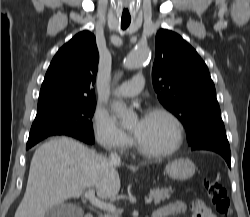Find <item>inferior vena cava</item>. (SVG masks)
Returning a JSON list of instances; mask_svg holds the SVG:
<instances>
[{"instance_id": "obj_1", "label": "inferior vena cava", "mask_w": 250, "mask_h": 217, "mask_svg": "<svg viewBox=\"0 0 250 217\" xmlns=\"http://www.w3.org/2000/svg\"><path fill=\"white\" fill-rule=\"evenodd\" d=\"M109 160L112 164H120L121 163L120 156L115 152L110 153Z\"/></svg>"}]
</instances>
